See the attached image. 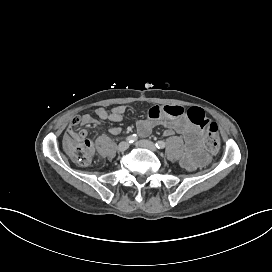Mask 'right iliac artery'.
Masks as SVG:
<instances>
[{
	"label": "right iliac artery",
	"instance_id": "1",
	"mask_svg": "<svg viewBox=\"0 0 272 272\" xmlns=\"http://www.w3.org/2000/svg\"><path fill=\"white\" fill-rule=\"evenodd\" d=\"M138 137L136 134H132V135H129L127 138H126V141L128 143H134L135 141H137Z\"/></svg>",
	"mask_w": 272,
	"mask_h": 272
}]
</instances>
